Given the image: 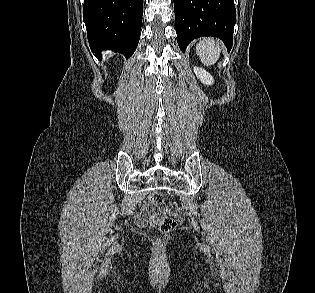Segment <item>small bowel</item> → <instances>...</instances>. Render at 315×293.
<instances>
[{
    "instance_id": "small-bowel-1",
    "label": "small bowel",
    "mask_w": 315,
    "mask_h": 293,
    "mask_svg": "<svg viewBox=\"0 0 315 293\" xmlns=\"http://www.w3.org/2000/svg\"><path fill=\"white\" fill-rule=\"evenodd\" d=\"M161 218V214L150 209L149 205L144 206L136 216V223L140 226L155 224Z\"/></svg>"
}]
</instances>
